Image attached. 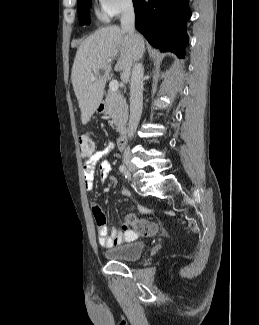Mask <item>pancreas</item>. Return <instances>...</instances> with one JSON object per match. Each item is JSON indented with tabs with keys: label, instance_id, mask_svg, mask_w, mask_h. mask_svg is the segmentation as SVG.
I'll return each mask as SVG.
<instances>
[{
	"label": "pancreas",
	"instance_id": "cf45deb5",
	"mask_svg": "<svg viewBox=\"0 0 259 325\" xmlns=\"http://www.w3.org/2000/svg\"><path fill=\"white\" fill-rule=\"evenodd\" d=\"M106 113L112 119L119 134L124 133L128 120V106L124 97L118 91H109L106 97Z\"/></svg>",
	"mask_w": 259,
	"mask_h": 325
}]
</instances>
